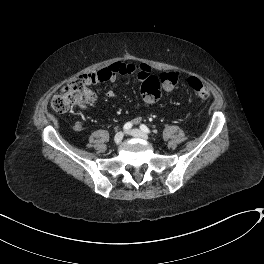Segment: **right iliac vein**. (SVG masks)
<instances>
[{"label":"right iliac vein","instance_id":"63e3f726","mask_svg":"<svg viewBox=\"0 0 264 264\" xmlns=\"http://www.w3.org/2000/svg\"><path fill=\"white\" fill-rule=\"evenodd\" d=\"M123 137H124V133H123V132H118V133L115 135V137H114V142H115L116 144H119V143L122 141Z\"/></svg>","mask_w":264,"mask_h":264}]
</instances>
